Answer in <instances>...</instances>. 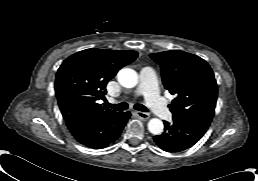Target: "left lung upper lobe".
Listing matches in <instances>:
<instances>
[{"mask_svg": "<svg viewBox=\"0 0 258 181\" xmlns=\"http://www.w3.org/2000/svg\"><path fill=\"white\" fill-rule=\"evenodd\" d=\"M161 66L165 88L176 98L169 105L173 118L209 126L217 100L212 69L202 58L179 50L151 54Z\"/></svg>", "mask_w": 258, "mask_h": 181, "instance_id": "left-lung-upper-lobe-1", "label": "left lung upper lobe"}]
</instances>
